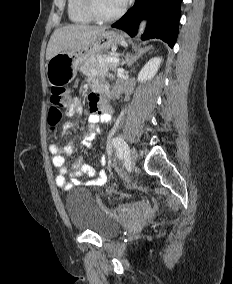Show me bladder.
<instances>
[{
    "label": "bladder",
    "mask_w": 233,
    "mask_h": 284,
    "mask_svg": "<svg viewBox=\"0 0 233 284\" xmlns=\"http://www.w3.org/2000/svg\"><path fill=\"white\" fill-rule=\"evenodd\" d=\"M66 210L77 231L92 232L102 238H111L120 231L119 224L103 211L87 189L71 190L66 196Z\"/></svg>",
    "instance_id": "1"
}]
</instances>
